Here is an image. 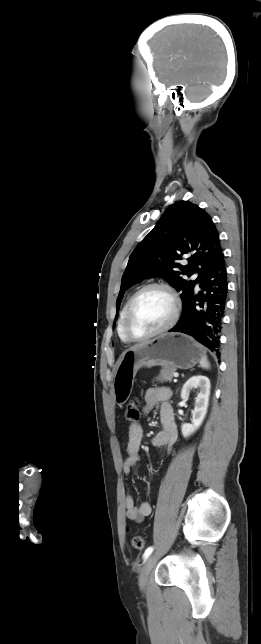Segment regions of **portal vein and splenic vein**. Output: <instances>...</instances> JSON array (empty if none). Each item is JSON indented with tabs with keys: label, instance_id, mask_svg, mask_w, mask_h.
<instances>
[{
	"label": "portal vein and splenic vein",
	"instance_id": "obj_1",
	"mask_svg": "<svg viewBox=\"0 0 261 644\" xmlns=\"http://www.w3.org/2000/svg\"><path fill=\"white\" fill-rule=\"evenodd\" d=\"M178 376H179V374H178V373H174V377H178Z\"/></svg>",
	"mask_w": 261,
	"mask_h": 644
}]
</instances>
